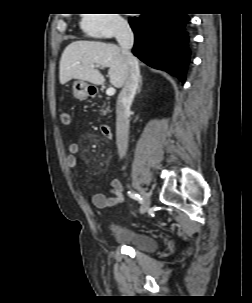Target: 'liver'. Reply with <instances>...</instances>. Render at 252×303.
I'll list each match as a JSON object with an SVG mask.
<instances>
[{
	"instance_id": "liver-1",
	"label": "liver",
	"mask_w": 252,
	"mask_h": 303,
	"mask_svg": "<svg viewBox=\"0 0 252 303\" xmlns=\"http://www.w3.org/2000/svg\"><path fill=\"white\" fill-rule=\"evenodd\" d=\"M95 65L109 67L110 83L116 88L124 86L126 70L121 48L98 41H74L62 53L59 80L62 85L71 79L88 81L94 85L104 83V76Z\"/></svg>"
}]
</instances>
